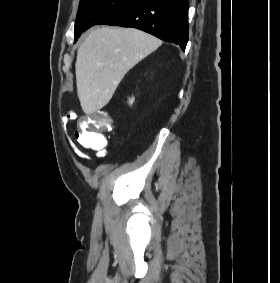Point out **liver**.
Returning a JSON list of instances; mask_svg holds the SVG:
<instances>
[{
  "mask_svg": "<svg viewBox=\"0 0 280 283\" xmlns=\"http://www.w3.org/2000/svg\"><path fill=\"white\" fill-rule=\"evenodd\" d=\"M160 45L156 37L134 28L92 30L78 49L75 65L82 110L93 114L107 105L125 74Z\"/></svg>",
  "mask_w": 280,
  "mask_h": 283,
  "instance_id": "6515ba94",
  "label": "liver"
}]
</instances>
